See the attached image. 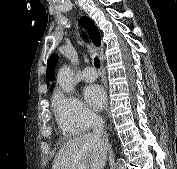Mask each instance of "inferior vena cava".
<instances>
[{
	"label": "inferior vena cava",
	"mask_w": 177,
	"mask_h": 169,
	"mask_svg": "<svg viewBox=\"0 0 177 169\" xmlns=\"http://www.w3.org/2000/svg\"><path fill=\"white\" fill-rule=\"evenodd\" d=\"M91 127L93 130V136L101 138L103 134L104 121L100 116L93 115L91 117Z\"/></svg>",
	"instance_id": "obj_1"
}]
</instances>
